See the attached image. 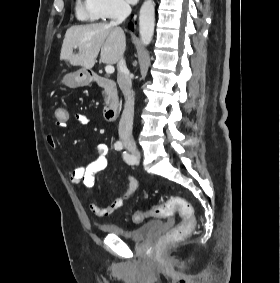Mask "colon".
<instances>
[{
  "label": "colon",
  "instance_id": "5ec220e1",
  "mask_svg": "<svg viewBox=\"0 0 280 283\" xmlns=\"http://www.w3.org/2000/svg\"><path fill=\"white\" fill-rule=\"evenodd\" d=\"M55 122H68L73 119L68 108L57 105L54 112ZM177 210L180 215V223L177 227L166 234L168 239H182L187 237L194 230L196 218L191 204L181 197H172L165 204L153 207L147 211H136L132 214V221L139 223L148 217L167 218Z\"/></svg>",
  "mask_w": 280,
  "mask_h": 283
}]
</instances>
